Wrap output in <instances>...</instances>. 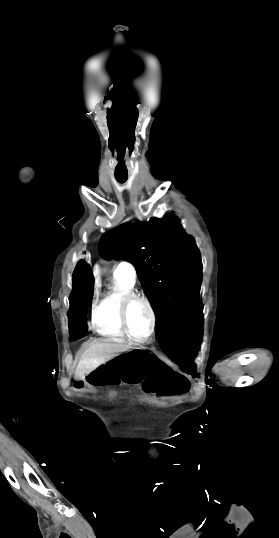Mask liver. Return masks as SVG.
Here are the masks:
<instances>
[{
	"label": "liver",
	"instance_id": "6515ba94",
	"mask_svg": "<svg viewBox=\"0 0 279 538\" xmlns=\"http://www.w3.org/2000/svg\"><path fill=\"white\" fill-rule=\"evenodd\" d=\"M126 350H129V346H125L121 342H113V340H100V342L91 344L78 362L75 370L76 380H84L85 374H90L98 366L117 356L118 352H126Z\"/></svg>",
	"mask_w": 279,
	"mask_h": 538
}]
</instances>
